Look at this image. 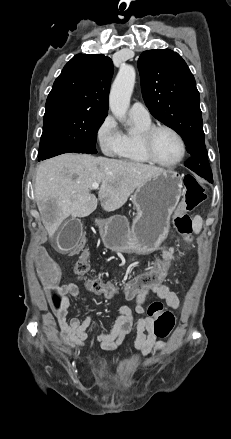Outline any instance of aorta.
<instances>
[{"label":"aorta","mask_w":231,"mask_h":439,"mask_svg":"<svg viewBox=\"0 0 231 439\" xmlns=\"http://www.w3.org/2000/svg\"><path fill=\"white\" fill-rule=\"evenodd\" d=\"M136 72L133 66L123 65L112 84L109 95V107L118 120H123L130 105L135 84Z\"/></svg>","instance_id":"obj_1"}]
</instances>
